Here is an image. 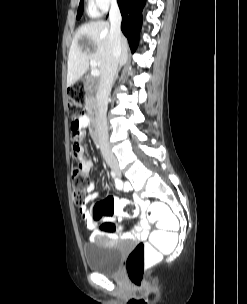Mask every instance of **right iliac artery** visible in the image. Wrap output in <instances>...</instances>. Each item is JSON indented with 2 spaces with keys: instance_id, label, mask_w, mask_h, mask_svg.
<instances>
[{
  "instance_id": "1",
  "label": "right iliac artery",
  "mask_w": 247,
  "mask_h": 304,
  "mask_svg": "<svg viewBox=\"0 0 247 304\" xmlns=\"http://www.w3.org/2000/svg\"><path fill=\"white\" fill-rule=\"evenodd\" d=\"M111 176H112L113 178H116V173H115L114 171H111Z\"/></svg>"
}]
</instances>
